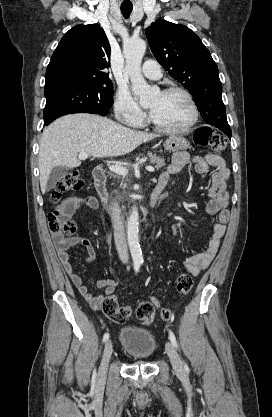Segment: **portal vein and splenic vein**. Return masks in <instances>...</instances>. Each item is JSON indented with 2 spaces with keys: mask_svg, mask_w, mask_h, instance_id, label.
Instances as JSON below:
<instances>
[{
  "mask_svg": "<svg viewBox=\"0 0 272 417\" xmlns=\"http://www.w3.org/2000/svg\"><path fill=\"white\" fill-rule=\"evenodd\" d=\"M79 159L80 160H85L88 157L87 153H80L79 154ZM109 169L111 172H114L118 175H122V176H126L128 174V169L126 167L120 166V165H110ZM146 169L150 172H154V167L152 166H147Z\"/></svg>",
  "mask_w": 272,
  "mask_h": 417,
  "instance_id": "portal-vein-and-splenic-vein-1",
  "label": "portal vein and splenic vein"
}]
</instances>
